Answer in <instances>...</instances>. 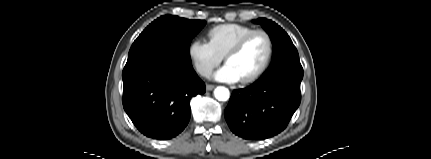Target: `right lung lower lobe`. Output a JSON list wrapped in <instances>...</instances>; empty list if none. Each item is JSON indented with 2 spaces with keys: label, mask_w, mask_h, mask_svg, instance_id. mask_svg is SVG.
<instances>
[{
  "label": "right lung lower lobe",
  "mask_w": 431,
  "mask_h": 159,
  "mask_svg": "<svg viewBox=\"0 0 431 159\" xmlns=\"http://www.w3.org/2000/svg\"><path fill=\"white\" fill-rule=\"evenodd\" d=\"M123 107L145 136L176 137L190 119V99L205 92L191 63L162 50L127 60L122 72Z\"/></svg>",
  "instance_id": "1"
}]
</instances>
